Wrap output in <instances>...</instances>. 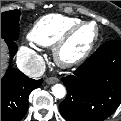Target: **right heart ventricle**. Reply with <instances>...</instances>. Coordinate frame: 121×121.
I'll return each mask as SVG.
<instances>
[{"instance_id":"right-heart-ventricle-1","label":"right heart ventricle","mask_w":121,"mask_h":121,"mask_svg":"<svg viewBox=\"0 0 121 121\" xmlns=\"http://www.w3.org/2000/svg\"><path fill=\"white\" fill-rule=\"evenodd\" d=\"M80 20L60 14H48L33 25L29 38L40 46H53L59 37Z\"/></svg>"}]
</instances>
